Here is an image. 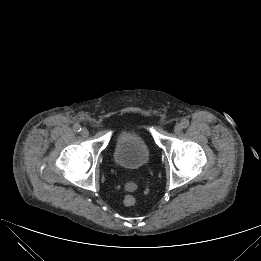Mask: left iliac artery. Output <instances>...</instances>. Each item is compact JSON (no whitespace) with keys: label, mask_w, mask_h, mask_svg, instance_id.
Here are the masks:
<instances>
[{"label":"left iliac artery","mask_w":261,"mask_h":261,"mask_svg":"<svg viewBox=\"0 0 261 261\" xmlns=\"http://www.w3.org/2000/svg\"><path fill=\"white\" fill-rule=\"evenodd\" d=\"M182 128H187L189 126V121L187 119H183L181 121Z\"/></svg>","instance_id":"left-iliac-artery-1"}]
</instances>
